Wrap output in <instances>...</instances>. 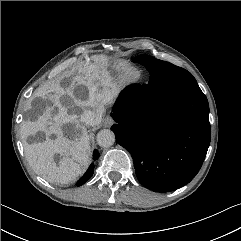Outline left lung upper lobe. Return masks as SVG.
<instances>
[{"instance_id": "1", "label": "left lung upper lobe", "mask_w": 241, "mask_h": 241, "mask_svg": "<svg viewBox=\"0 0 241 241\" xmlns=\"http://www.w3.org/2000/svg\"><path fill=\"white\" fill-rule=\"evenodd\" d=\"M133 62L144 65L150 74H162L166 78L173 95L198 87L196 79L190 72L169 62L158 60L149 55H139L133 59Z\"/></svg>"}]
</instances>
